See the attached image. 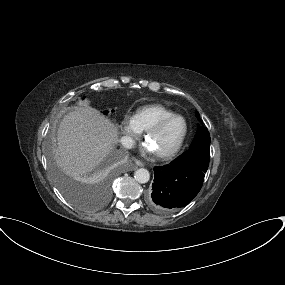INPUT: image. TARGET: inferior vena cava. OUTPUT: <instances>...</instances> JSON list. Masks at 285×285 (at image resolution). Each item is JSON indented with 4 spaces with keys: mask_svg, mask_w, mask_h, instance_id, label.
Listing matches in <instances>:
<instances>
[{
    "mask_svg": "<svg viewBox=\"0 0 285 285\" xmlns=\"http://www.w3.org/2000/svg\"><path fill=\"white\" fill-rule=\"evenodd\" d=\"M120 142H121L122 146H124L127 149H131L134 145V140L130 136H123L120 139Z\"/></svg>",
    "mask_w": 285,
    "mask_h": 285,
    "instance_id": "obj_1",
    "label": "inferior vena cava"
}]
</instances>
